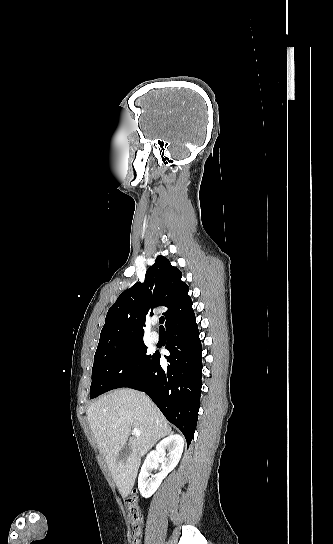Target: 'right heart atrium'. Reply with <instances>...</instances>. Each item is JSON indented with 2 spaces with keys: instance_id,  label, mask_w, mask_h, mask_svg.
<instances>
[{
  "instance_id": "d8ad5b80",
  "label": "right heart atrium",
  "mask_w": 333,
  "mask_h": 544,
  "mask_svg": "<svg viewBox=\"0 0 333 544\" xmlns=\"http://www.w3.org/2000/svg\"><path fill=\"white\" fill-rule=\"evenodd\" d=\"M125 356H126L127 359H131V358L133 357L132 351H130V350L127 351L126 354H125Z\"/></svg>"
}]
</instances>
